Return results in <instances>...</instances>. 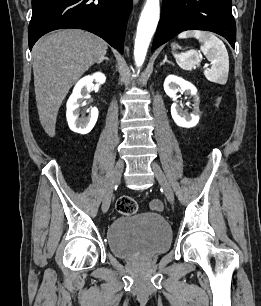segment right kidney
Instances as JSON below:
<instances>
[{
	"label": "right kidney",
	"instance_id": "1",
	"mask_svg": "<svg viewBox=\"0 0 261 306\" xmlns=\"http://www.w3.org/2000/svg\"><path fill=\"white\" fill-rule=\"evenodd\" d=\"M105 80V75L98 72L91 76L83 77L76 83L73 93L66 104V117L72 131L79 134H87L93 129L98 118V109L93 107L87 118H79V106L82 100L90 93L93 81L104 84Z\"/></svg>",
	"mask_w": 261,
	"mask_h": 306
}]
</instances>
